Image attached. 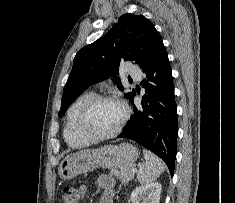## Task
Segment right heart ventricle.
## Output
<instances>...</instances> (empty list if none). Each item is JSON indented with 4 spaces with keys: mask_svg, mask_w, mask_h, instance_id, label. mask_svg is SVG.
Listing matches in <instances>:
<instances>
[{
    "mask_svg": "<svg viewBox=\"0 0 235 203\" xmlns=\"http://www.w3.org/2000/svg\"><path fill=\"white\" fill-rule=\"evenodd\" d=\"M95 94L91 91L81 94L68 108L63 136L66 143L73 148H79L88 145L91 141L81 136L76 129L78 114L84 104Z\"/></svg>",
    "mask_w": 235,
    "mask_h": 203,
    "instance_id": "1",
    "label": "right heart ventricle"
}]
</instances>
